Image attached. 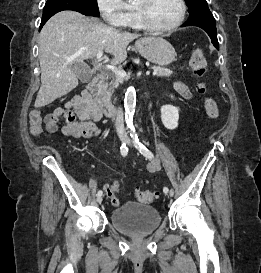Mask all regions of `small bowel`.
<instances>
[{
	"label": "small bowel",
	"instance_id": "obj_1",
	"mask_svg": "<svg viewBox=\"0 0 261 273\" xmlns=\"http://www.w3.org/2000/svg\"><path fill=\"white\" fill-rule=\"evenodd\" d=\"M174 89L184 99L191 100L192 93L189 87L181 82L174 83ZM74 114L77 115L79 121L75 120ZM102 113L90 106L86 100L81 96H74L70 101L64 104V107H58L53 112L45 116V125L48 133H56L59 129V121L63 120L64 123L61 127L63 135L73 138H86L90 139L100 135L101 130L96 125V122L101 119ZM159 169L157 163L150 165L151 172ZM104 190L114 207L120 205V200L117 196L119 185L115 180L112 185H105Z\"/></svg>",
	"mask_w": 261,
	"mask_h": 273
}]
</instances>
